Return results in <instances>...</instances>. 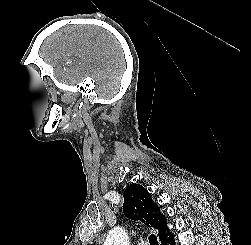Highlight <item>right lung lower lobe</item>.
<instances>
[{
	"label": "right lung lower lobe",
	"mask_w": 251,
	"mask_h": 245,
	"mask_svg": "<svg viewBox=\"0 0 251 245\" xmlns=\"http://www.w3.org/2000/svg\"><path fill=\"white\" fill-rule=\"evenodd\" d=\"M160 241L162 245H174V237L172 234H169L167 237L163 238Z\"/></svg>",
	"instance_id": "right-lung-lower-lobe-1"
}]
</instances>
